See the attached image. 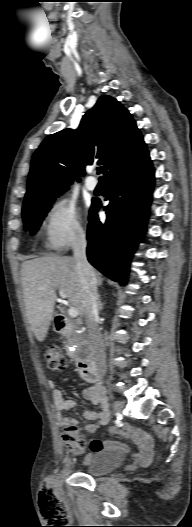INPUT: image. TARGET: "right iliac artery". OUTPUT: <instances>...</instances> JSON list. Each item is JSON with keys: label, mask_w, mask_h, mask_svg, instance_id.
<instances>
[{"label": "right iliac artery", "mask_w": 192, "mask_h": 527, "mask_svg": "<svg viewBox=\"0 0 192 527\" xmlns=\"http://www.w3.org/2000/svg\"><path fill=\"white\" fill-rule=\"evenodd\" d=\"M114 423H115V427H116L117 429H120V428L122 427V422H121V420H120V421H117V420L115 419V420H114Z\"/></svg>", "instance_id": "obj_1"}]
</instances>
